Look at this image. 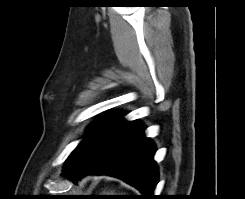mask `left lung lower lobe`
Segmentation results:
<instances>
[{"label": "left lung lower lobe", "instance_id": "1", "mask_svg": "<svg viewBox=\"0 0 245 199\" xmlns=\"http://www.w3.org/2000/svg\"><path fill=\"white\" fill-rule=\"evenodd\" d=\"M123 116L99 131L62 176L72 181L91 173L116 176L138 188L143 199H153L158 182L154 144L145 137L139 122L126 121Z\"/></svg>", "mask_w": 245, "mask_h": 199}]
</instances>
